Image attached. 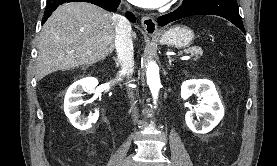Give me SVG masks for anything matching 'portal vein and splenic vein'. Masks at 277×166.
Here are the masks:
<instances>
[{
    "label": "portal vein and splenic vein",
    "instance_id": "portal-vein-and-splenic-vein-1",
    "mask_svg": "<svg viewBox=\"0 0 277 166\" xmlns=\"http://www.w3.org/2000/svg\"><path fill=\"white\" fill-rule=\"evenodd\" d=\"M188 59H190V56H183V57H181V60H188Z\"/></svg>",
    "mask_w": 277,
    "mask_h": 166
}]
</instances>
